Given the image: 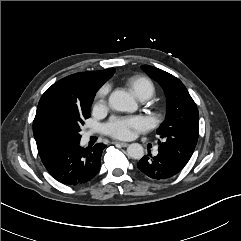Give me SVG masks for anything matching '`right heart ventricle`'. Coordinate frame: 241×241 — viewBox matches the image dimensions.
<instances>
[{"label":"right heart ventricle","mask_w":241,"mask_h":241,"mask_svg":"<svg viewBox=\"0 0 241 241\" xmlns=\"http://www.w3.org/2000/svg\"><path fill=\"white\" fill-rule=\"evenodd\" d=\"M129 90L139 99H149L155 93V85L146 76H132L126 81Z\"/></svg>","instance_id":"obj_1"}]
</instances>
